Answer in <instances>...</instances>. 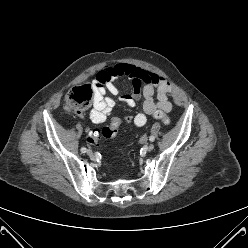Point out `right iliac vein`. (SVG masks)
Instances as JSON below:
<instances>
[{
	"instance_id": "63e3f726",
	"label": "right iliac vein",
	"mask_w": 248,
	"mask_h": 248,
	"mask_svg": "<svg viewBox=\"0 0 248 248\" xmlns=\"http://www.w3.org/2000/svg\"><path fill=\"white\" fill-rule=\"evenodd\" d=\"M87 154H88L89 157H93V152H92L91 149H88L87 150Z\"/></svg>"
}]
</instances>
